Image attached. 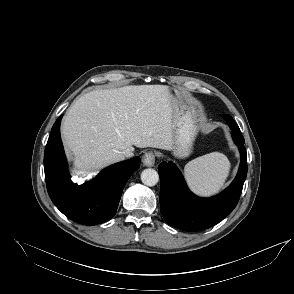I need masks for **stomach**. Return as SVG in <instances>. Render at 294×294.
<instances>
[{
  "instance_id": "1",
  "label": "stomach",
  "mask_w": 294,
  "mask_h": 294,
  "mask_svg": "<svg viewBox=\"0 0 294 294\" xmlns=\"http://www.w3.org/2000/svg\"><path fill=\"white\" fill-rule=\"evenodd\" d=\"M170 94L179 98L178 91L173 88H170ZM198 130V118L195 108L186 105L179 98L174 116L173 141L170 149L176 157L184 158L191 153Z\"/></svg>"
}]
</instances>
